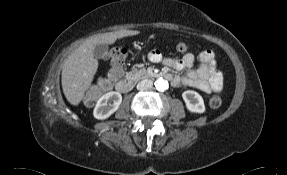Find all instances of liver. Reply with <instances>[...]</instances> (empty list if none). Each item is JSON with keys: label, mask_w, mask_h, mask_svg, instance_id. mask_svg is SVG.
I'll return each instance as SVG.
<instances>
[{"label": "liver", "mask_w": 287, "mask_h": 175, "mask_svg": "<svg viewBox=\"0 0 287 175\" xmlns=\"http://www.w3.org/2000/svg\"><path fill=\"white\" fill-rule=\"evenodd\" d=\"M137 33L125 30L99 35L87 40L69 57L62 72V87L71 104L77 105L80 102L97 71L98 61L94 59L96 44H112L117 38Z\"/></svg>", "instance_id": "liver-1"}]
</instances>
